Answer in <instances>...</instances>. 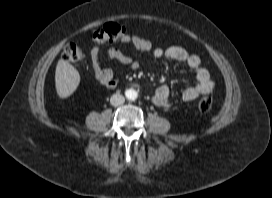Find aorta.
<instances>
[{"label": "aorta", "mask_w": 272, "mask_h": 198, "mask_svg": "<svg viewBox=\"0 0 272 198\" xmlns=\"http://www.w3.org/2000/svg\"><path fill=\"white\" fill-rule=\"evenodd\" d=\"M125 95H126L127 99L135 100L138 96V93L134 89H128V90H126Z\"/></svg>", "instance_id": "1"}]
</instances>
